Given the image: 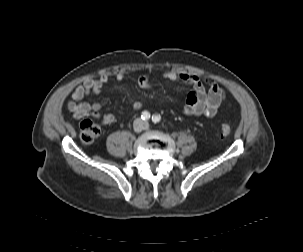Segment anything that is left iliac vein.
I'll use <instances>...</instances> for the list:
<instances>
[{
    "label": "left iliac vein",
    "instance_id": "obj_1",
    "mask_svg": "<svg viewBox=\"0 0 303 252\" xmlns=\"http://www.w3.org/2000/svg\"><path fill=\"white\" fill-rule=\"evenodd\" d=\"M145 128L148 129L149 128V124L145 123Z\"/></svg>",
    "mask_w": 303,
    "mask_h": 252
}]
</instances>
